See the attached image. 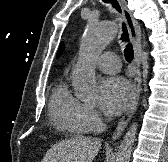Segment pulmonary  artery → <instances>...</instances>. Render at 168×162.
I'll return each instance as SVG.
<instances>
[{
  "instance_id": "pulmonary-artery-1",
  "label": "pulmonary artery",
  "mask_w": 168,
  "mask_h": 162,
  "mask_svg": "<svg viewBox=\"0 0 168 162\" xmlns=\"http://www.w3.org/2000/svg\"><path fill=\"white\" fill-rule=\"evenodd\" d=\"M95 64L104 73L115 74L119 72L121 64L119 57L112 52H105L98 56Z\"/></svg>"
}]
</instances>
